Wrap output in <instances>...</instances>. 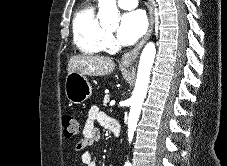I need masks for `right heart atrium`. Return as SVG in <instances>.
<instances>
[{"label":"right heart atrium","instance_id":"right-heart-atrium-1","mask_svg":"<svg viewBox=\"0 0 227 166\" xmlns=\"http://www.w3.org/2000/svg\"><path fill=\"white\" fill-rule=\"evenodd\" d=\"M107 43L112 45L114 43L113 38L109 35L107 36Z\"/></svg>","mask_w":227,"mask_h":166}]
</instances>
